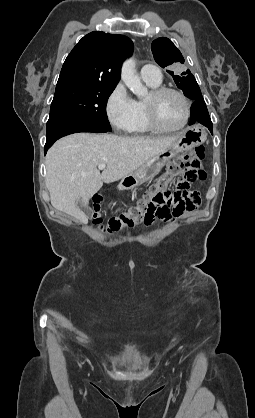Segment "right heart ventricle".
<instances>
[{
    "instance_id": "e07e8e85",
    "label": "right heart ventricle",
    "mask_w": 255,
    "mask_h": 418,
    "mask_svg": "<svg viewBox=\"0 0 255 418\" xmlns=\"http://www.w3.org/2000/svg\"><path fill=\"white\" fill-rule=\"evenodd\" d=\"M146 83L151 89H156L161 86V82L159 83L146 82ZM136 106H137L136 120L130 132L134 134H145V133L152 132L153 129L150 127L148 120H147L145 101L143 100L136 101Z\"/></svg>"
}]
</instances>
